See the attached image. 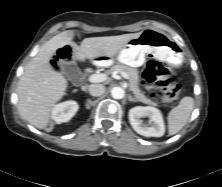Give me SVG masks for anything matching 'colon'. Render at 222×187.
I'll use <instances>...</instances> for the list:
<instances>
[{
	"label": "colon",
	"mask_w": 222,
	"mask_h": 187,
	"mask_svg": "<svg viewBox=\"0 0 222 187\" xmlns=\"http://www.w3.org/2000/svg\"><path fill=\"white\" fill-rule=\"evenodd\" d=\"M72 59V50L63 47L58 50L55 58L51 61V67L56 73H60L62 66ZM143 79L148 83L156 84L157 91L166 103H173L180 93L179 85L169 76L168 70L157 61H149L143 71Z\"/></svg>",
	"instance_id": "colon-1"
}]
</instances>
